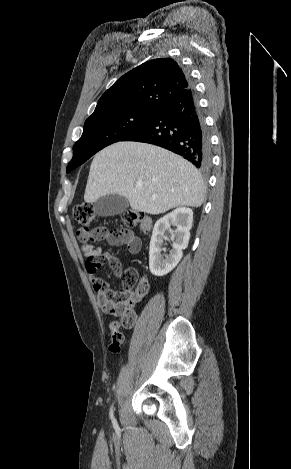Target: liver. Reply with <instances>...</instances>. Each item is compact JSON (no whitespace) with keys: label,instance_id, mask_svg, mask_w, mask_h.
Segmentation results:
<instances>
[{"label":"liver","instance_id":"obj_1","mask_svg":"<svg viewBox=\"0 0 291 469\" xmlns=\"http://www.w3.org/2000/svg\"><path fill=\"white\" fill-rule=\"evenodd\" d=\"M138 183L143 185L140 190ZM205 190L198 170L182 157L151 144L117 142L94 156L84 200L93 203L118 194L133 210L156 215L176 207H200Z\"/></svg>","mask_w":291,"mask_h":469}]
</instances>
